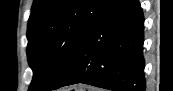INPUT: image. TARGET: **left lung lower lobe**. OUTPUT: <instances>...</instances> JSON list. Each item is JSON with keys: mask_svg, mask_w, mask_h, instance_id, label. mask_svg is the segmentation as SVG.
I'll list each match as a JSON object with an SVG mask.
<instances>
[{"mask_svg": "<svg viewBox=\"0 0 173 91\" xmlns=\"http://www.w3.org/2000/svg\"><path fill=\"white\" fill-rule=\"evenodd\" d=\"M144 17L138 0H112L91 27L61 81L47 91L84 83L144 91Z\"/></svg>", "mask_w": 173, "mask_h": 91, "instance_id": "obj_1", "label": "left lung lower lobe"}]
</instances>
